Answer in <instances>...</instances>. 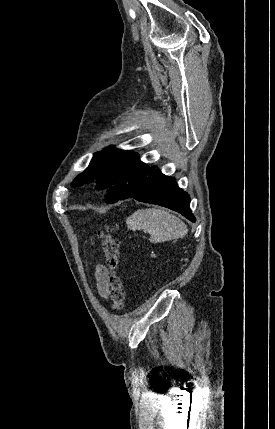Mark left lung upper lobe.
<instances>
[{"instance_id": "left-lung-upper-lobe-1", "label": "left lung upper lobe", "mask_w": 275, "mask_h": 429, "mask_svg": "<svg viewBox=\"0 0 275 429\" xmlns=\"http://www.w3.org/2000/svg\"><path fill=\"white\" fill-rule=\"evenodd\" d=\"M148 168L149 166L138 158V153L109 148L94 154L89 166L73 180L72 186L77 187L96 180L97 188H107L110 184H115L120 187L122 195ZM116 201L118 199H106L107 203Z\"/></svg>"}]
</instances>
